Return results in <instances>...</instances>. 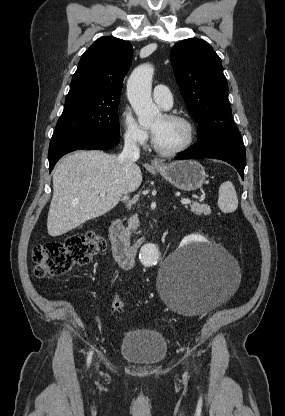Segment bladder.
I'll use <instances>...</instances> for the list:
<instances>
[{
    "label": "bladder",
    "instance_id": "obj_1",
    "mask_svg": "<svg viewBox=\"0 0 285 416\" xmlns=\"http://www.w3.org/2000/svg\"><path fill=\"white\" fill-rule=\"evenodd\" d=\"M167 352L164 335L157 329L139 328L125 333L119 347V354L132 362L156 363Z\"/></svg>",
    "mask_w": 285,
    "mask_h": 416
}]
</instances>
